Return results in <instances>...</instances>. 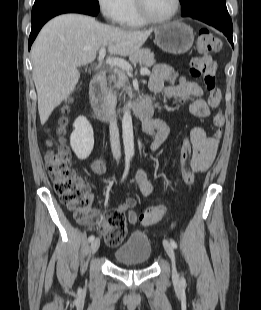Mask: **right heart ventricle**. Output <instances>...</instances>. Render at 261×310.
I'll return each mask as SVG.
<instances>
[{
	"label": "right heart ventricle",
	"instance_id": "right-heart-ventricle-1",
	"mask_svg": "<svg viewBox=\"0 0 261 310\" xmlns=\"http://www.w3.org/2000/svg\"><path fill=\"white\" fill-rule=\"evenodd\" d=\"M119 24L126 28H140L146 25L138 15L134 0H126V10Z\"/></svg>",
	"mask_w": 261,
	"mask_h": 310
}]
</instances>
